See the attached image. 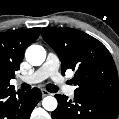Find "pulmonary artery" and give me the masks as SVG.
<instances>
[{"label": "pulmonary artery", "instance_id": "obj_1", "mask_svg": "<svg viewBox=\"0 0 119 119\" xmlns=\"http://www.w3.org/2000/svg\"><path fill=\"white\" fill-rule=\"evenodd\" d=\"M59 59L54 53H49L47 55L44 64L38 68L34 73L28 76H22L20 78L21 82L24 83H38L48 77L52 78L59 86L66 91L69 96H73L74 87L66 85L64 77L59 73Z\"/></svg>", "mask_w": 119, "mask_h": 119}]
</instances>
